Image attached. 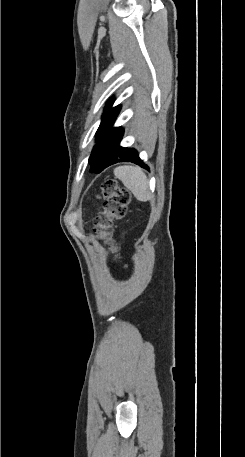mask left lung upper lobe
Returning a JSON list of instances; mask_svg holds the SVG:
<instances>
[{"label":"left lung upper lobe","instance_id":"5c2ea615","mask_svg":"<svg viewBox=\"0 0 245 457\" xmlns=\"http://www.w3.org/2000/svg\"><path fill=\"white\" fill-rule=\"evenodd\" d=\"M111 105H112V100H110L107 103V106H106L105 111H104L105 114H104V116L102 118V122H101L100 125L115 121V119H116V117H117V115L119 113L120 106H116V107L111 109Z\"/></svg>","mask_w":245,"mask_h":457}]
</instances>
